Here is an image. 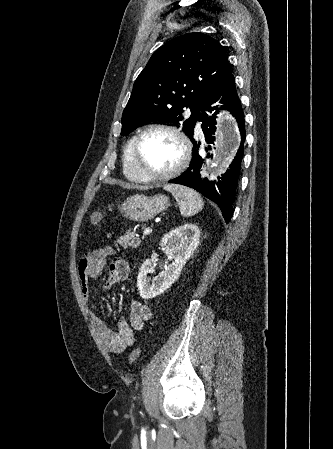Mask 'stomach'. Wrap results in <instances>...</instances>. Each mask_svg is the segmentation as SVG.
<instances>
[{
    "label": "stomach",
    "mask_w": 333,
    "mask_h": 449,
    "mask_svg": "<svg viewBox=\"0 0 333 449\" xmlns=\"http://www.w3.org/2000/svg\"><path fill=\"white\" fill-rule=\"evenodd\" d=\"M170 205L169 199L161 194L147 197L136 194L125 200L119 206L120 213L135 222H146L163 212Z\"/></svg>",
    "instance_id": "1"
}]
</instances>
